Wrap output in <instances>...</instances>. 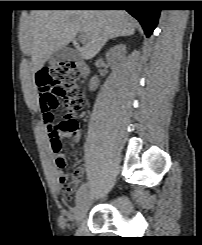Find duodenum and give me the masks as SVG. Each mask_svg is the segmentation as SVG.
Here are the masks:
<instances>
[{"label":"duodenum","mask_w":202,"mask_h":245,"mask_svg":"<svg viewBox=\"0 0 202 245\" xmlns=\"http://www.w3.org/2000/svg\"><path fill=\"white\" fill-rule=\"evenodd\" d=\"M79 71L82 77H86L89 73V67L85 62L79 63Z\"/></svg>","instance_id":"410a0bca"}]
</instances>
